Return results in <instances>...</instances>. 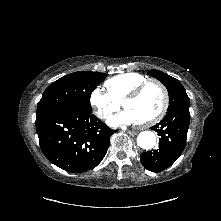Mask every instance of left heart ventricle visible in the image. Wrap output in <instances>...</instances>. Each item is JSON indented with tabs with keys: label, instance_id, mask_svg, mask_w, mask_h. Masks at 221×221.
<instances>
[{
	"label": "left heart ventricle",
	"instance_id": "b2bd125f",
	"mask_svg": "<svg viewBox=\"0 0 221 221\" xmlns=\"http://www.w3.org/2000/svg\"><path fill=\"white\" fill-rule=\"evenodd\" d=\"M162 102L163 98L159 88L149 85L138 98L126 101L124 108L130 111L139 123L153 117L160 110Z\"/></svg>",
	"mask_w": 221,
	"mask_h": 221
}]
</instances>
